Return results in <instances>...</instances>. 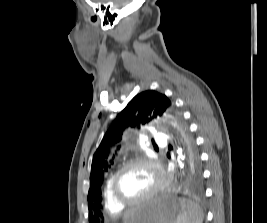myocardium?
<instances>
[{"label": "myocardium", "mask_w": 267, "mask_h": 223, "mask_svg": "<svg viewBox=\"0 0 267 223\" xmlns=\"http://www.w3.org/2000/svg\"><path fill=\"white\" fill-rule=\"evenodd\" d=\"M135 165H146L153 170L156 176V183L154 187L145 195L136 200H125L120 197L117 192V180L119 176L129 167ZM165 176L160 165L153 159L148 157H135L125 162L111 177L110 192L114 201L123 207H134L147 202L155 197L164 187Z\"/></svg>", "instance_id": "myocardium-1"}]
</instances>
